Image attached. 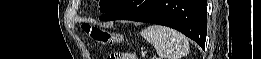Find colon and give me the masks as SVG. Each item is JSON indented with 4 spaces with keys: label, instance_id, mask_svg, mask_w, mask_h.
Segmentation results:
<instances>
[{
    "label": "colon",
    "instance_id": "1",
    "mask_svg": "<svg viewBox=\"0 0 261 59\" xmlns=\"http://www.w3.org/2000/svg\"><path fill=\"white\" fill-rule=\"evenodd\" d=\"M84 30L91 37V39L98 44L112 45V44H117V43L121 42V37L118 34L113 33L111 31H107V30L99 28V27L85 26ZM108 58L109 59H120L121 57L116 56V55H111ZM125 58L134 59L133 56H127Z\"/></svg>",
    "mask_w": 261,
    "mask_h": 59
}]
</instances>
